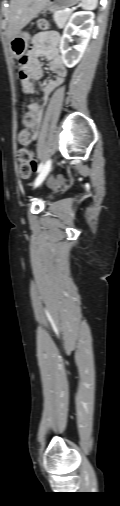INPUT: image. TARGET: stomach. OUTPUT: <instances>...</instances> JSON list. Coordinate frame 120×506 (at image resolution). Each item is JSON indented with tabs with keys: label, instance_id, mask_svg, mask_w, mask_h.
<instances>
[{
	"label": "stomach",
	"instance_id": "0dacf381",
	"mask_svg": "<svg viewBox=\"0 0 120 506\" xmlns=\"http://www.w3.org/2000/svg\"><path fill=\"white\" fill-rule=\"evenodd\" d=\"M80 0H49L46 10L56 11L63 10L76 5ZM30 35L27 32L19 31L12 39H10V48L15 58L22 57L29 46Z\"/></svg>",
	"mask_w": 120,
	"mask_h": 506
}]
</instances>
